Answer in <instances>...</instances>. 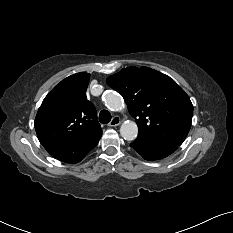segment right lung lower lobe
<instances>
[{"mask_svg":"<svg viewBox=\"0 0 233 233\" xmlns=\"http://www.w3.org/2000/svg\"><path fill=\"white\" fill-rule=\"evenodd\" d=\"M100 137L101 134L95 136L85 143L78 145H46L44 148L50 155L60 161L66 163H77L97 145Z\"/></svg>","mask_w":233,"mask_h":233,"instance_id":"1","label":"right lung lower lobe"}]
</instances>
